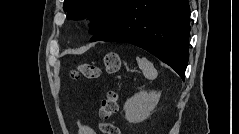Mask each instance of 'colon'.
Wrapping results in <instances>:
<instances>
[{"mask_svg":"<svg viewBox=\"0 0 239 134\" xmlns=\"http://www.w3.org/2000/svg\"><path fill=\"white\" fill-rule=\"evenodd\" d=\"M121 68L120 56L115 52H109L104 57V69L108 73H115ZM72 78L80 76L86 79H97L100 76V69L92 63H83L75 67L70 72ZM119 98L118 94L114 91L107 93L102 99L99 106V116L101 119L106 120L118 111ZM103 134H120V129L112 123L102 122L99 125Z\"/></svg>","mask_w":239,"mask_h":134,"instance_id":"colon-1","label":"colon"}]
</instances>
